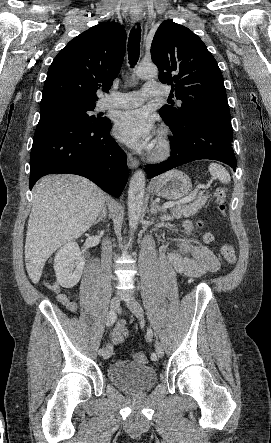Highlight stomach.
Returning <instances> with one entry per match:
<instances>
[{"instance_id":"obj_1","label":"stomach","mask_w":271,"mask_h":443,"mask_svg":"<svg viewBox=\"0 0 271 443\" xmlns=\"http://www.w3.org/2000/svg\"><path fill=\"white\" fill-rule=\"evenodd\" d=\"M192 188L191 180L180 170H170L160 178H156L153 190L156 196L166 198V200H180L187 196Z\"/></svg>"}]
</instances>
